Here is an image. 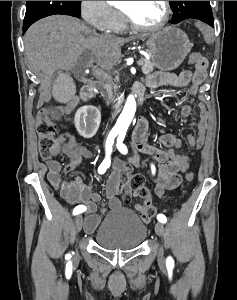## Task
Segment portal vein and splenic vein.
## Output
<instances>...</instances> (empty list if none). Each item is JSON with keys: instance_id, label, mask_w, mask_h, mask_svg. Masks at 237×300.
Masks as SVG:
<instances>
[{"instance_id": "obj_1", "label": "portal vein and splenic vein", "mask_w": 237, "mask_h": 300, "mask_svg": "<svg viewBox=\"0 0 237 300\" xmlns=\"http://www.w3.org/2000/svg\"><path fill=\"white\" fill-rule=\"evenodd\" d=\"M137 62H138V61H137ZM138 65L142 66V65H143V62L140 60V61L138 62Z\"/></svg>"}]
</instances>
